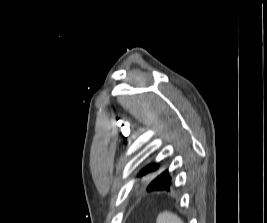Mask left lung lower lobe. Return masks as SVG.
Here are the masks:
<instances>
[{
	"label": "left lung lower lobe",
	"instance_id": "left-lung-lower-lobe-1",
	"mask_svg": "<svg viewBox=\"0 0 267 223\" xmlns=\"http://www.w3.org/2000/svg\"><path fill=\"white\" fill-rule=\"evenodd\" d=\"M175 178L171 173H158L157 178L151 182H145L143 190H146V195H170V190L173 187H180V182H174Z\"/></svg>",
	"mask_w": 267,
	"mask_h": 223
}]
</instances>
